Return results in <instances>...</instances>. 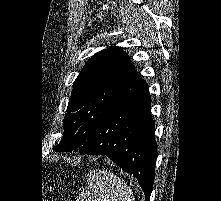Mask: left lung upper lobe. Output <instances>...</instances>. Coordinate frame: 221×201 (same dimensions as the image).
I'll return each instance as SVG.
<instances>
[{
	"instance_id": "1",
	"label": "left lung upper lobe",
	"mask_w": 221,
	"mask_h": 201,
	"mask_svg": "<svg viewBox=\"0 0 221 201\" xmlns=\"http://www.w3.org/2000/svg\"><path fill=\"white\" fill-rule=\"evenodd\" d=\"M144 84L121 48L114 46L96 53L73 84L64 135L54 150L80 148L107 113Z\"/></svg>"
}]
</instances>
